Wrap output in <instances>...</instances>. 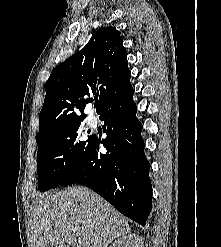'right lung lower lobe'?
<instances>
[{
  "mask_svg": "<svg viewBox=\"0 0 221 247\" xmlns=\"http://www.w3.org/2000/svg\"><path fill=\"white\" fill-rule=\"evenodd\" d=\"M133 94L132 89L99 114L107 137H91L83 156L59 186L85 185L144 226L151 211L152 187ZM100 143L107 150L104 154L99 151Z\"/></svg>",
  "mask_w": 221,
  "mask_h": 247,
  "instance_id": "obj_1",
  "label": "right lung lower lobe"
}]
</instances>
